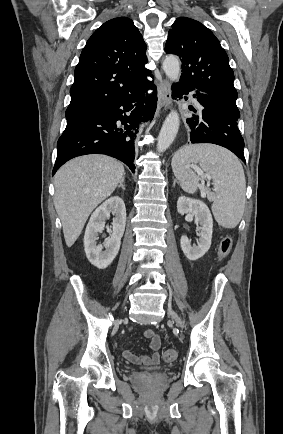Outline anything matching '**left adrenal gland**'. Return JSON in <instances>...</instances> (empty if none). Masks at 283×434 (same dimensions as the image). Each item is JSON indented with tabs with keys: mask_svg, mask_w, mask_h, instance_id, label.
<instances>
[{
	"mask_svg": "<svg viewBox=\"0 0 283 434\" xmlns=\"http://www.w3.org/2000/svg\"><path fill=\"white\" fill-rule=\"evenodd\" d=\"M177 183V180L176 179H174V182H173V187H175V184Z\"/></svg>",
	"mask_w": 283,
	"mask_h": 434,
	"instance_id": "a2214340",
	"label": "left adrenal gland"
}]
</instances>
